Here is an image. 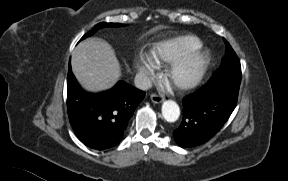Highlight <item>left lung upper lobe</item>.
I'll return each mask as SVG.
<instances>
[{
	"label": "left lung upper lobe",
	"instance_id": "left-lung-upper-lobe-1",
	"mask_svg": "<svg viewBox=\"0 0 288 181\" xmlns=\"http://www.w3.org/2000/svg\"><path fill=\"white\" fill-rule=\"evenodd\" d=\"M224 42L226 44V53L220 67L210 78L209 85L239 90L241 82L240 61L230 44L225 39Z\"/></svg>",
	"mask_w": 288,
	"mask_h": 181
}]
</instances>
